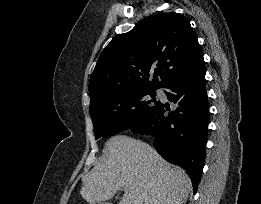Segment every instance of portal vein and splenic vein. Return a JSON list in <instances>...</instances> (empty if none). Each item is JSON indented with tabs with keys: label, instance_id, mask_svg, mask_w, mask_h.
Wrapping results in <instances>:
<instances>
[{
	"label": "portal vein and splenic vein",
	"instance_id": "obj_1",
	"mask_svg": "<svg viewBox=\"0 0 261 204\" xmlns=\"http://www.w3.org/2000/svg\"><path fill=\"white\" fill-rule=\"evenodd\" d=\"M123 189H124V190H127V189H128V186H127V185L123 186Z\"/></svg>",
	"mask_w": 261,
	"mask_h": 204
}]
</instances>
